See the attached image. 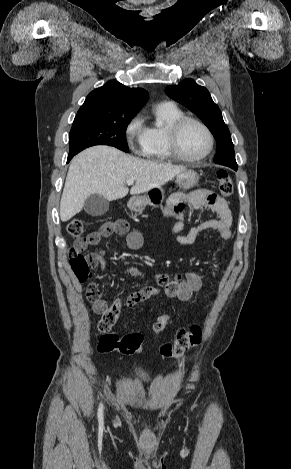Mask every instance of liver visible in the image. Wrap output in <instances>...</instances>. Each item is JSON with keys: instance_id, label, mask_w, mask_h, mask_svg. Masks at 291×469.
<instances>
[{"instance_id": "liver-1", "label": "liver", "mask_w": 291, "mask_h": 469, "mask_svg": "<svg viewBox=\"0 0 291 469\" xmlns=\"http://www.w3.org/2000/svg\"><path fill=\"white\" fill-rule=\"evenodd\" d=\"M184 166L143 160L114 147L98 145L85 149L71 161L60 201V219L66 222L79 213L88 196L100 194L108 201L160 187L185 171Z\"/></svg>"}]
</instances>
